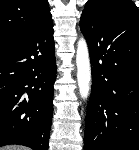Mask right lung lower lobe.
I'll use <instances>...</instances> for the list:
<instances>
[{
  "label": "right lung lower lobe",
  "instance_id": "1",
  "mask_svg": "<svg viewBox=\"0 0 139 150\" xmlns=\"http://www.w3.org/2000/svg\"><path fill=\"white\" fill-rule=\"evenodd\" d=\"M53 22L0 44V146L48 150L56 79Z\"/></svg>",
  "mask_w": 139,
  "mask_h": 150
}]
</instances>
